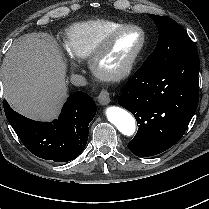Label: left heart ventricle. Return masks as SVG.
Returning <instances> with one entry per match:
<instances>
[{
    "instance_id": "obj_1",
    "label": "left heart ventricle",
    "mask_w": 209,
    "mask_h": 209,
    "mask_svg": "<svg viewBox=\"0 0 209 209\" xmlns=\"http://www.w3.org/2000/svg\"><path fill=\"white\" fill-rule=\"evenodd\" d=\"M141 40V33L138 31H126L116 36L101 64L102 68L116 70L122 67L137 50Z\"/></svg>"
}]
</instances>
